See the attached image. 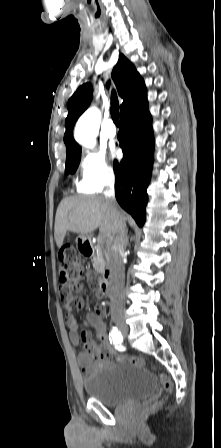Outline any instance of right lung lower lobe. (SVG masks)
I'll return each instance as SVG.
<instances>
[{
  "mask_svg": "<svg viewBox=\"0 0 221 448\" xmlns=\"http://www.w3.org/2000/svg\"><path fill=\"white\" fill-rule=\"evenodd\" d=\"M118 136L123 151L120 163L114 161L115 196L123 209L143 226L148 201L146 189L153 164L154 137L147 98L120 114Z\"/></svg>",
  "mask_w": 221,
  "mask_h": 448,
  "instance_id": "98d812e1",
  "label": "right lung lower lobe"
}]
</instances>
